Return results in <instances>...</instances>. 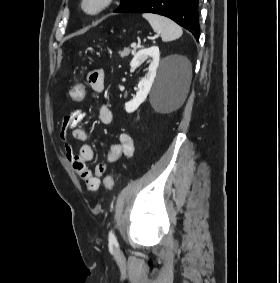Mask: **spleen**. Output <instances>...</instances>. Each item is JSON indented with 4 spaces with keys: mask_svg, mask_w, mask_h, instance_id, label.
Segmentation results:
<instances>
[{
    "mask_svg": "<svg viewBox=\"0 0 280 283\" xmlns=\"http://www.w3.org/2000/svg\"><path fill=\"white\" fill-rule=\"evenodd\" d=\"M143 17L150 23L152 29L161 35L164 42L173 41L182 36V28L167 17L151 13H144Z\"/></svg>",
    "mask_w": 280,
    "mask_h": 283,
    "instance_id": "spleen-1",
    "label": "spleen"
}]
</instances>
